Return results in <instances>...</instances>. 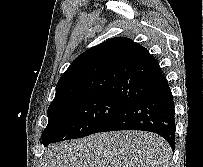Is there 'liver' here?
Masks as SVG:
<instances>
[{"instance_id": "1", "label": "liver", "mask_w": 203, "mask_h": 167, "mask_svg": "<svg viewBox=\"0 0 203 167\" xmlns=\"http://www.w3.org/2000/svg\"><path fill=\"white\" fill-rule=\"evenodd\" d=\"M171 156L169 144L157 134L104 132L53 145L41 167H170Z\"/></svg>"}]
</instances>
